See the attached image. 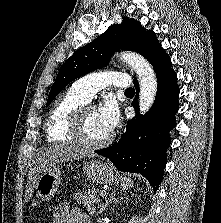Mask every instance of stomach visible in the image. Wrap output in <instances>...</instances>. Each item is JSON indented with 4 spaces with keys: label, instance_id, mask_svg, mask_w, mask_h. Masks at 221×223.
<instances>
[{
    "label": "stomach",
    "instance_id": "0dacf381",
    "mask_svg": "<svg viewBox=\"0 0 221 223\" xmlns=\"http://www.w3.org/2000/svg\"><path fill=\"white\" fill-rule=\"evenodd\" d=\"M83 172L89 180L97 184H111L117 179L112 166L97 160L85 162ZM59 180L60 172L56 167L42 172L35 184L38 196L43 201L50 200L57 191Z\"/></svg>",
    "mask_w": 221,
    "mask_h": 223
}]
</instances>
